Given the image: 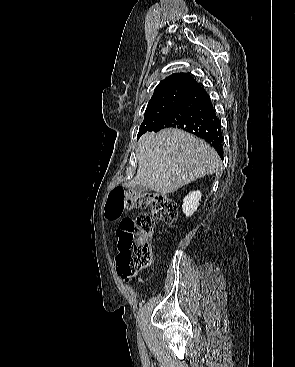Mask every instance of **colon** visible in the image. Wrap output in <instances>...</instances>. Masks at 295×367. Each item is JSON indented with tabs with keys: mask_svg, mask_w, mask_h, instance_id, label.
Segmentation results:
<instances>
[{
	"mask_svg": "<svg viewBox=\"0 0 295 367\" xmlns=\"http://www.w3.org/2000/svg\"><path fill=\"white\" fill-rule=\"evenodd\" d=\"M151 207V214L141 213L135 219H123L117 229V272L122 277L135 274L152 261L149 236L155 220L166 224L177 217V204L167 195L147 192L132 194L121 187L114 188L108 199L106 217L119 219L123 212L134 208Z\"/></svg>",
	"mask_w": 295,
	"mask_h": 367,
	"instance_id": "1",
	"label": "colon"
}]
</instances>
